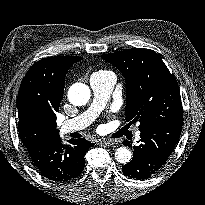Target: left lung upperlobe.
Masks as SVG:
<instances>
[{
    "mask_svg": "<svg viewBox=\"0 0 205 205\" xmlns=\"http://www.w3.org/2000/svg\"><path fill=\"white\" fill-rule=\"evenodd\" d=\"M126 79V120L140 122L139 130L183 119L181 96L175 77L153 50L133 48L101 55Z\"/></svg>",
    "mask_w": 205,
    "mask_h": 205,
    "instance_id": "1",
    "label": "left lung upper lobe"
}]
</instances>
